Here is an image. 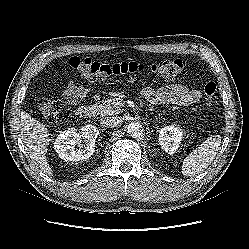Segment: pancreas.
<instances>
[{
  "instance_id": "pancreas-1",
  "label": "pancreas",
  "mask_w": 249,
  "mask_h": 249,
  "mask_svg": "<svg viewBox=\"0 0 249 249\" xmlns=\"http://www.w3.org/2000/svg\"><path fill=\"white\" fill-rule=\"evenodd\" d=\"M117 98H112L104 101L102 104L98 105V110L101 115H113L119 114L122 110L118 104Z\"/></svg>"
}]
</instances>
